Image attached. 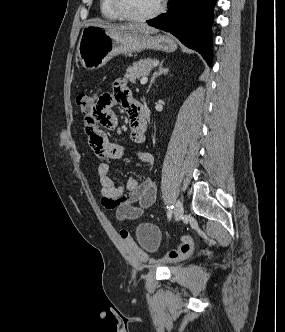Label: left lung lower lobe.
Returning a JSON list of instances; mask_svg holds the SVG:
<instances>
[{
  "label": "left lung lower lobe",
  "mask_w": 285,
  "mask_h": 332,
  "mask_svg": "<svg viewBox=\"0 0 285 332\" xmlns=\"http://www.w3.org/2000/svg\"><path fill=\"white\" fill-rule=\"evenodd\" d=\"M215 3L216 0H171L167 13L147 23L172 33L211 65V23Z\"/></svg>",
  "instance_id": "0a47b994"
}]
</instances>
